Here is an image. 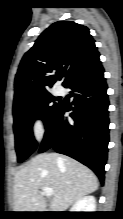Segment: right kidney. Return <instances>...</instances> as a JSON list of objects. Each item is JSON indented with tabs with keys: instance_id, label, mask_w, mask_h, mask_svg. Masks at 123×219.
Masks as SVG:
<instances>
[{
	"instance_id": "right-kidney-1",
	"label": "right kidney",
	"mask_w": 123,
	"mask_h": 219,
	"mask_svg": "<svg viewBox=\"0 0 123 219\" xmlns=\"http://www.w3.org/2000/svg\"><path fill=\"white\" fill-rule=\"evenodd\" d=\"M96 200L94 196H84L77 200L70 212H95Z\"/></svg>"
}]
</instances>
